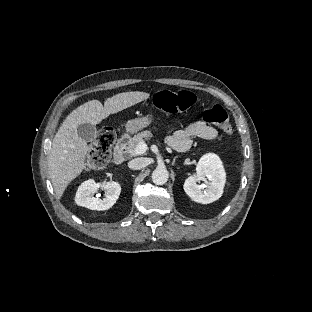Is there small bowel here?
Here are the masks:
<instances>
[{
  "label": "small bowel",
  "mask_w": 312,
  "mask_h": 312,
  "mask_svg": "<svg viewBox=\"0 0 312 312\" xmlns=\"http://www.w3.org/2000/svg\"><path fill=\"white\" fill-rule=\"evenodd\" d=\"M217 136L215 128L204 121H197L184 129H177L167 138V144L176 151L185 152L192 146L194 138L212 140Z\"/></svg>",
  "instance_id": "obj_1"
}]
</instances>
